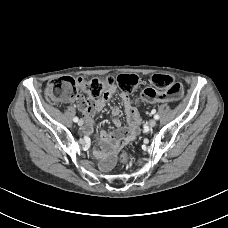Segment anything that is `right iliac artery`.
I'll return each instance as SVG.
<instances>
[{
    "mask_svg": "<svg viewBox=\"0 0 228 228\" xmlns=\"http://www.w3.org/2000/svg\"><path fill=\"white\" fill-rule=\"evenodd\" d=\"M78 120H79L78 117H74V118H73V121H74V122H78Z\"/></svg>",
    "mask_w": 228,
    "mask_h": 228,
    "instance_id": "1",
    "label": "right iliac artery"
}]
</instances>
